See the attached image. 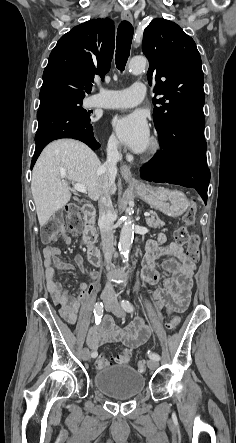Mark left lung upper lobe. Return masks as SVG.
<instances>
[{
	"instance_id": "5c2ea615",
	"label": "left lung upper lobe",
	"mask_w": 236,
	"mask_h": 443,
	"mask_svg": "<svg viewBox=\"0 0 236 443\" xmlns=\"http://www.w3.org/2000/svg\"><path fill=\"white\" fill-rule=\"evenodd\" d=\"M142 50L149 60L148 82L156 80L153 119L157 132L184 110H203L201 57L194 40L179 25L152 20L144 30ZM157 95L162 97L156 99Z\"/></svg>"
}]
</instances>
